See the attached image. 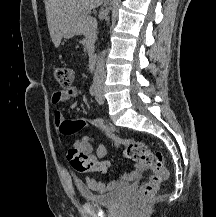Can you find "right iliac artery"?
Returning <instances> with one entry per match:
<instances>
[{
	"label": "right iliac artery",
	"instance_id": "1",
	"mask_svg": "<svg viewBox=\"0 0 216 217\" xmlns=\"http://www.w3.org/2000/svg\"><path fill=\"white\" fill-rule=\"evenodd\" d=\"M97 84L96 83H93L91 86H90V95L91 96H95L96 93H97Z\"/></svg>",
	"mask_w": 216,
	"mask_h": 217
}]
</instances>
